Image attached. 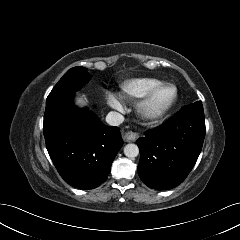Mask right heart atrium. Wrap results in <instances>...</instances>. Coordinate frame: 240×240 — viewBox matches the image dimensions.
Listing matches in <instances>:
<instances>
[{
	"instance_id": "1",
	"label": "right heart atrium",
	"mask_w": 240,
	"mask_h": 240,
	"mask_svg": "<svg viewBox=\"0 0 240 240\" xmlns=\"http://www.w3.org/2000/svg\"><path fill=\"white\" fill-rule=\"evenodd\" d=\"M107 101H108V104L116 109V110H123V104L121 103V101L119 100V98L114 95L113 93H108L107 95Z\"/></svg>"
}]
</instances>
